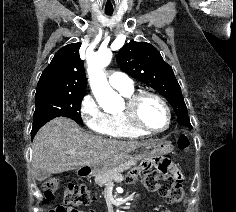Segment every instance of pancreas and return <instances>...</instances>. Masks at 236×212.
<instances>
[{"label": "pancreas", "mask_w": 236, "mask_h": 212, "mask_svg": "<svg viewBox=\"0 0 236 212\" xmlns=\"http://www.w3.org/2000/svg\"><path fill=\"white\" fill-rule=\"evenodd\" d=\"M135 164L136 162L132 160L121 163L118 166L109 169L102 174L97 175L95 177V183L98 184L99 186H107L114 181L120 182L123 179L122 172L128 170ZM121 177L122 179H120Z\"/></svg>", "instance_id": "obj_1"}]
</instances>
